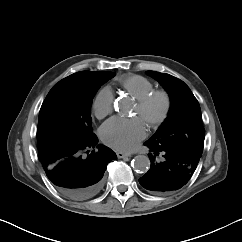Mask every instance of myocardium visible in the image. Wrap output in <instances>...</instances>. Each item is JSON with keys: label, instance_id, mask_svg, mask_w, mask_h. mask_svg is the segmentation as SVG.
I'll return each mask as SVG.
<instances>
[{"label": "myocardium", "instance_id": "f54148a6", "mask_svg": "<svg viewBox=\"0 0 242 242\" xmlns=\"http://www.w3.org/2000/svg\"><path fill=\"white\" fill-rule=\"evenodd\" d=\"M159 97L162 98L164 101V109L162 114L158 118L152 120L147 125L151 129L159 128L160 126L165 124L169 119L173 108L171 95L166 90H163V89L152 90L149 93L137 99L135 103L139 107H144L149 103H151L154 99Z\"/></svg>", "mask_w": 242, "mask_h": 242}]
</instances>
